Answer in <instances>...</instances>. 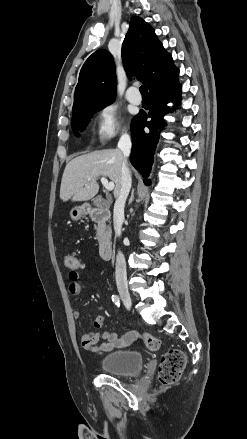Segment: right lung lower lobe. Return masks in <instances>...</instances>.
<instances>
[{"label": "right lung lower lobe", "instance_id": "obj_1", "mask_svg": "<svg viewBox=\"0 0 247 439\" xmlns=\"http://www.w3.org/2000/svg\"><path fill=\"white\" fill-rule=\"evenodd\" d=\"M181 93V85L178 81L165 88L154 91L150 94V111L147 115L139 113L132 120V152L130 155L131 164L145 178L144 183L149 185L148 176L153 163V156L159 140L160 131L165 125L163 116L168 112V102H177ZM148 127L149 132L144 131Z\"/></svg>", "mask_w": 247, "mask_h": 439}]
</instances>
